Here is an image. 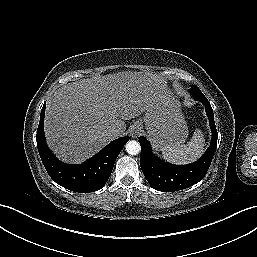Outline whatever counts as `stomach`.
I'll return each instance as SVG.
<instances>
[{
	"mask_svg": "<svg viewBox=\"0 0 257 257\" xmlns=\"http://www.w3.org/2000/svg\"><path fill=\"white\" fill-rule=\"evenodd\" d=\"M144 123L148 136L157 148L183 143L188 136V127L181 113L179 101L170 99H155L145 110L143 118L134 125Z\"/></svg>",
	"mask_w": 257,
	"mask_h": 257,
	"instance_id": "obj_1",
	"label": "stomach"
}]
</instances>
